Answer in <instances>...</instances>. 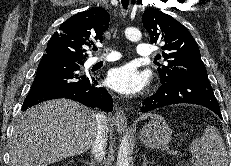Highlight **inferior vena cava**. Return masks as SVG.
Listing matches in <instances>:
<instances>
[{"label":"inferior vena cava","mask_w":231,"mask_h":166,"mask_svg":"<svg viewBox=\"0 0 231 166\" xmlns=\"http://www.w3.org/2000/svg\"><path fill=\"white\" fill-rule=\"evenodd\" d=\"M97 121V135L92 146V154L99 162L105 157V149L108 137V120L103 112H98L95 115Z\"/></svg>","instance_id":"inferior-vena-cava-1"}]
</instances>
